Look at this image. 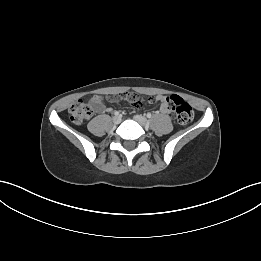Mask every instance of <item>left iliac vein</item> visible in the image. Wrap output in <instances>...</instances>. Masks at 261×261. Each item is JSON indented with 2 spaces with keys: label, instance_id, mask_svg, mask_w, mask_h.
Listing matches in <instances>:
<instances>
[{
  "label": "left iliac vein",
  "instance_id": "4c4485c4",
  "mask_svg": "<svg viewBox=\"0 0 261 261\" xmlns=\"http://www.w3.org/2000/svg\"><path fill=\"white\" fill-rule=\"evenodd\" d=\"M134 120L137 121L143 127L147 126L149 123L148 119L142 115H135Z\"/></svg>",
  "mask_w": 261,
  "mask_h": 261
}]
</instances>
